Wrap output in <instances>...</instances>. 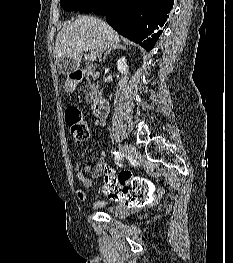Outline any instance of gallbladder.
Masks as SVG:
<instances>
[{
    "mask_svg": "<svg viewBox=\"0 0 233 263\" xmlns=\"http://www.w3.org/2000/svg\"><path fill=\"white\" fill-rule=\"evenodd\" d=\"M56 64H57V67H58V70L60 72H63L65 69H64V60L63 59H59L58 61H56Z\"/></svg>",
    "mask_w": 233,
    "mask_h": 263,
    "instance_id": "gallbladder-1",
    "label": "gallbladder"
}]
</instances>
